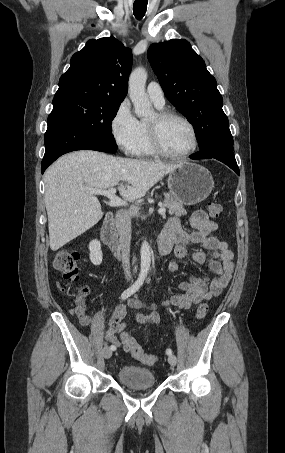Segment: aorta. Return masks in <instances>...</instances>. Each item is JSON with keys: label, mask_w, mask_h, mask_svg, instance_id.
Returning <instances> with one entry per match:
<instances>
[{"label": "aorta", "mask_w": 285, "mask_h": 453, "mask_svg": "<svg viewBox=\"0 0 285 453\" xmlns=\"http://www.w3.org/2000/svg\"><path fill=\"white\" fill-rule=\"evenodd\" d=\"M147 72L143 67L134 69L129 78V96L138 117H147L152 113V104L145 93ZM141 274H147L151 265V248L145 240L140 249Z\"/></svg>", "instance_id": "762f6f07"}]
</instances>
